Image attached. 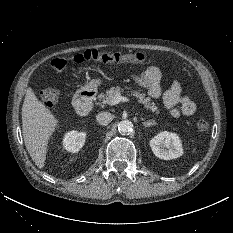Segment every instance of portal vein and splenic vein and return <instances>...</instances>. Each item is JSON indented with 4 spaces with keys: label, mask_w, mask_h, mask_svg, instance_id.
Listing matches in <instances>:
<instances>
[{
    "label": "portal vein and splenic vein",
    "mask_w": 233,
    "mask_h": 233,
    "mask_svg": "<svg viewBox=\"0 0 233 233\" xmlns=\"http://www.w3.org/2000/svg\"><path fill=\"white\" fill-rule=\"evenodd\" d=\"M129 102V99L127 97H123L120 94H117L114 98H112L110 105H116L119 102Z\"/></svg>",
    "instance_id": "portal-vein-and-splenic-vein-1"
}]
</instances>
